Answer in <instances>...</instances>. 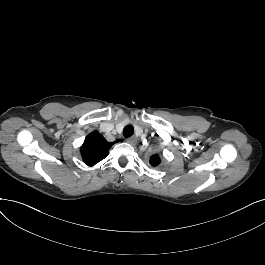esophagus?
I'll return each instance as SVG.
<instances>
[{
    "label": "esophagus",
    "mask_w": 265,
    "mask_h": 265,
    "mask_svg": "<svg viewBox=\"0 0 265 265\" xmlns=\"http://www.w3.org/2000/svg\"><path fill=\"white\" fill-rule=\"evenodd\" d=\"M127 142L134 146L138 143V139L136 136H131L127 139Z\"/></svg>",
    "instance_id": "34e87169"
}]
</instances>
